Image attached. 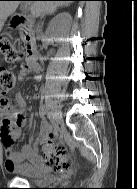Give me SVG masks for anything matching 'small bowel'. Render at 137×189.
Returning <instances> with one entry per match:
<instances>
[{"instance_id":"small-bowel-1","label":"small bowel","mask_w":137,"mask_h":189,"mask_svg":"<svg viewBox=\"0 0 137 189\" xmlns=\"http://www.w3.org/2000/svg\"><path fill=\"white\" fill-rule=\"evenodd\" d=\"M29 73L33 74V78L36 81H41L42 74L40 68L31 70L29 67H26L22 71V77ZM26 112L27 102L20 94H16L13 105L6 99L0 100V139L4 146L5 170L9 173L25 174L42 164V157L37 148L24 146L19 151L13 149L15 139L21 134V127L24 123ZM56 135L57 132L53 133L46 124L42 125L40 129V140L44 141L42 144L52 140L56 145Z\"/></svg>"}]
</instances>
